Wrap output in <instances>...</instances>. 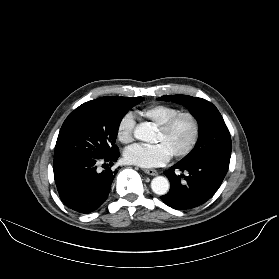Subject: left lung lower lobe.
Returning a JSON list of instances; mask_svg holds the SVG:
<instances>
[{
    "label": "left lung lower lobe",
    "mask_w": 279,
    "mask_h": 279,
    "mask_svg": "<svg viewBox=\"0 0 279 279\" xmlns=\"http://www.w3.org/2000/svg\"><path fill=\"white\" fill-rule=\"evenodd\" d=\"M175 170L187 174L176 175ZM227 171V166L214 159L178 162L164 172L171 185L169 193L160 198L176 210L197 207L214 195Z\"/></svg>",
    "instance_id": "obj_1"
}]
</instances>
